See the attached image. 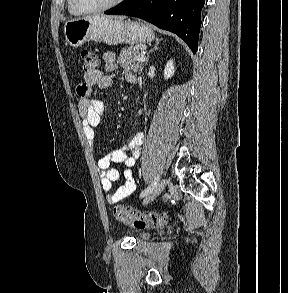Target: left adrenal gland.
<instances>
[{
    "instance_id": "obj_1",
    "label": "left adrenal gland",
    "mask_w": 288,
    "mask_h": 293,
    "mask_svg": "<svg viewBox=\"0 0 288 293\" xmlns=\"http://www.w3.org/2000/svg\"><path fill=\"white\" fill-rule=\"evenodd\" d=\"M160 41H161V39L156 38V43H155L153 49H151L146 56V61H145L146 64L148 62L150 53L158 49V45H159Z\"/></svg>"
}]
</instances>
